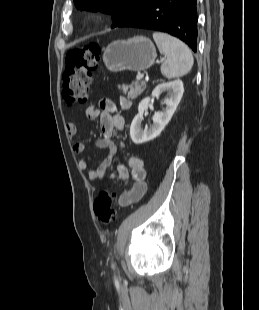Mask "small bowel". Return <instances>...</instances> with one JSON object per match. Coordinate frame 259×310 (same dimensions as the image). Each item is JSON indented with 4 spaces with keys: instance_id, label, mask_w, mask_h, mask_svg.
Wrapping results in <instances>:
<instances>
[{
    "instance_id": "obj_1",
    "label": "small bowel",
    "mask_w": 259,
    "mask_h": 310,
    "mask_svg": "<svg viewBox=\"0 0 259 310\" xmlns=\"http://www.w3.org/2000/svg\"><path fill=\"white\" fill-rule=\"evenodd\" d=\"M121 110H128L131 106L130 101L121 97L119 100ZM116 103L108 98L101 99L98 105H90L86 108V116L90 120L99 119L100 130L103 135L101 139L95 141V146L100 149H108L109 155L95 168L89 169L87 172V179L90 182L101 180L109 173L113 156L119 149L124 147V143H115L112 141V136L115 131L123 130L125 127L124 118L117 114ZM78 133V127L74 122L66 124V134L73 138ZM86 145L82 142H76L73 150L76 153H82ZM89 166V158H82L79 161L80 170H87ZM110 177L116 182H132V188L124 192L119 197V206L126 207L133 203L140 201L147 192L146 169L142 159L138 156H131L128 159V166L117 165L114 172L109 173Z\"/></svg>"
}]
</instances>
